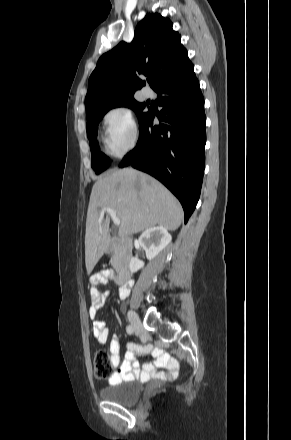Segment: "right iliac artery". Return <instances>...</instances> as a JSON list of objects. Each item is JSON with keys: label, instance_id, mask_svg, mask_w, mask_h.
<instances>
[{"label": "right iliac artery", "instance_id": "right-iliac-artery-1", "mask_svg": "<svg viewBox=\"0 0 291 440\" xmlns=\"http://www.w3.org/2000/svg\"><path fill=\"white\" fill-rule=\"evenodd\" d=\"M126 331H127L128 334H132L134 330H133V327H132V326L128 325V326L126 327Z\"/></svg>", "mask_w": 291, "mask_h": 440}]
</instances>
